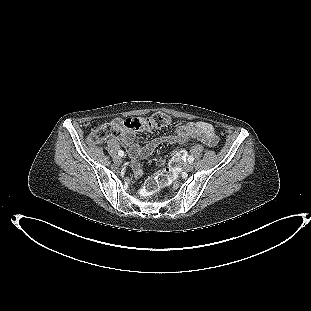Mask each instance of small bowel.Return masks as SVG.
Listing matches in <instances>:
<instances>
[{"mask_svg": "<svg viewBox=\"0 0 311 311\" xmlns=\"http://www.w3.org/2000/svg\"><path fill=\"white\" fill-rule=\"evenodd\" d=\"M119 120V119H114ZM200 139L208 146H214L217 143V135L213 126L204 121L189 122L177 126L171 134L156 137L147 142L143 147H139L135 143V133L128 129H123L121 132V142L128 148L131 159V169L133 176L138 178L142 174V169L138 164V160L148 158L152 155L155 149L162 143H182L190 139ZM183 153L177 154L181 158ZM163 160H159L158 164H163Z\"/></svg>", "mask_w": 311, "mask_h": 311, "instance_id": "small-bowel-1", "label": "small bowel"}]
</instances>
